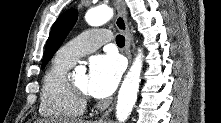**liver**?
Returning a JSON list of instances; mask_svg holds the SVG:
<instances>
[{
	"label": "liver",
	"instance_id": "obj_1",
	"mask_svg": "<svg viewBox=\"0 0 221 123\" xmlns=\"http://www.w3.org/2000/svg\"><path fill=\"white\" fill-rule=\"evenodd\" d=\"M67 121H70V123H86L82 120H77V119L67 120ZM35 123H48V121H46V120H37V122H35Z\"/></svg>",
	"mask_w": 221,
	"mask_h": 123
}]
</instances>
